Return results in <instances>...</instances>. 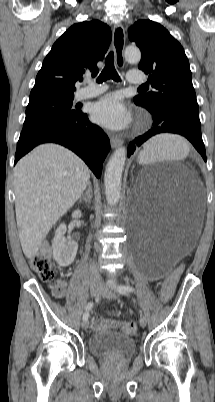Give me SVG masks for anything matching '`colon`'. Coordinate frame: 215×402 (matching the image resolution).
<instances>
[{
	"mask_svg": "<svg viewBox=\"0 0 215 402\" xmlns=\"http://www.w3.org/2000/svg\"><path fill=\"white\" fill-rule=\"evenodd\" d=\"M31 266L43 281L51 282L53 280L54 271L48 252L46 250L41 251L32 259ZM181 271V268L176 269L171 274V276L163 282L162 289L158 291V296L164 301L173 296L175 284L181 274ZM60 293V290L56 289V294L59 295ZM112 326L113 322L102 318H95L92 321L93 330H102L106 328H111ZM121 329L124 333L129 335H134L137 332V326L133 322L121 323Z\"/></svg>",
	"mask_w": 215,
	"mask_h": 402,
	"instance_id": "5ec220e1",
	"label": "colon"
}]
</instances>
